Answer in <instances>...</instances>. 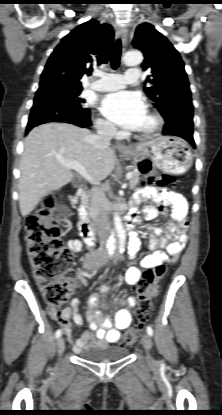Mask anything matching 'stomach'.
<instances>
[{
    "label": "stomach",
    "mask_w": 222,
    "mask_h": 415,
    "mask_svg": "<svg viewBox=\"0 0 222 415\" xmlns=\"http://www.w3.org/2000/svg\"><path fill=\"white\" fill-rule=\"evenodd\" d=\"M137 159L150 158L162 171L180 175L192 165V153L188 144L178 137H160L146 143L145 149H132L126 153Z\"/></svg>",
    "instance_id": "stomach-1"
}]
</instances>
